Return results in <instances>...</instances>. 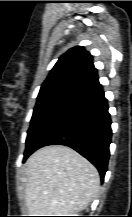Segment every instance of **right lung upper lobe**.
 <instances>
[{
  "label": "right lung upper lobe",
  "instance_id": "cb5924a9",
  "mask_svg": "<svg viewBox=\"0 0 132 217\" xmlns=\"http://www.w3.org/2000/svg\"><path fill=\"white\" fill-rule=\"evenodd\" d=\"M99 88L101 85L91 54L77 46L59 58L42 84L39 94L61 91L79 97Z\"/></svg>",
  "mask_w": 132,
  "mask_h": 217
}]
</instances>
